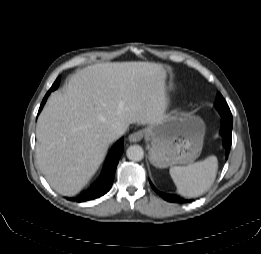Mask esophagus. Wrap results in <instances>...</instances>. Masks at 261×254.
<instances>
[{"label":"esophagus","instance_id":"obj_1","mask_svg":"<svg viewBox=\"0 0 261 254\" xmlns=\"http://www.w3.org/2000/svg\"><path fill=\"white\" fill-rule=\"evenodd\" d=\"M144 136V132L142 130L136 131L129 135L128 140L130 142H139Z\"/></svg>","mask_w":261,"mask_h":254}]
</instances>
